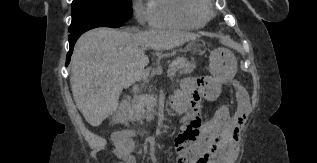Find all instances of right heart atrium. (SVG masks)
Masks as SVG:
<instances>
[{"label": "right heart atrium", "mask_w": 317, "mask_h": 163, "mask_svg": "<svg viewBox=\"0 0 317 163\" xmlns=\"http://www.w3.org/2000/svg\"><path fill=\"white\" fill-rule=\"evenodd\" d=\"M131 7L136 21L141 24L150 23L151 3L150 0H131Z\"/></svg>", "instance_id": "obj_1"}]
</instances>
